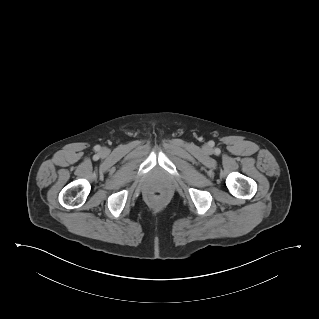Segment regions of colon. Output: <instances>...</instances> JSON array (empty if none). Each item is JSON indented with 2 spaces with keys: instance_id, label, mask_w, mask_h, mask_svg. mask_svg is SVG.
Masks as SVG:
<instances>
[{
  "instance_id": "1",
  "label": "colon",
  "mask_w": 319,
  "mask_h": 319,
  "mask_svg": "<svg viewBox=\"0 0 319 319\" xmlns=\"http://www.w3.org/2000/svg\"><path fill=\"white\" fill-rule=\"evenodd\" d=\"M162 196H163V193H162L161 191H154V192L152 193V198H153L154 200H159V199L162 198Z\"/></svg>"
}]
</instances>
